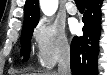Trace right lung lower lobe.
<instances>
[{
	"label": "right lung lower lobe",
	"mask_w": 107,
	"mask_h": 75,
	"mask_svg": "<svg viewBox=\"0 0 107 75\" xmlns=\"http://www.w3.org/2000/svg\"><path fill=\"white\" fill-rule=\"evenodd\" d=\"M83 36L74 37L71 43V71L73 75H97L98 40L102 0H85Z\"/></svg>",
	"instance_id": "1"
}]
</instances>
